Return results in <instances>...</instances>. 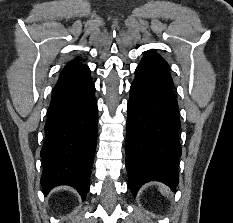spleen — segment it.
<instances>
[{
	"mask_svg": "<svg viewBox=\"0 0 233 223\" xmlns=\"http://www.w3.org/2000/svg\"><path fill=\"white\" fill-rule=\"evenodd\" d=\"M159 189L161 193H165V195H168V193H171V191H168V187H166V185H161V183H159Z\"/></svg>",
	"mask_w": 233,
	"mask_h": 223,
	"instance_id": "3e777b00",
	"label": "spleen"
}]
</instances>
